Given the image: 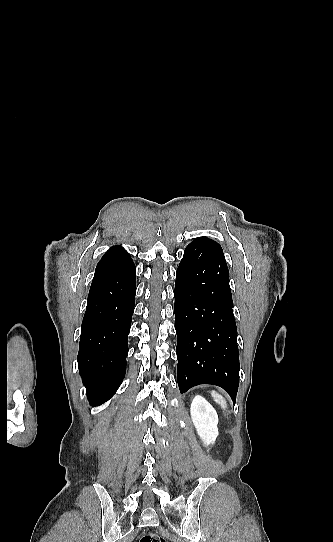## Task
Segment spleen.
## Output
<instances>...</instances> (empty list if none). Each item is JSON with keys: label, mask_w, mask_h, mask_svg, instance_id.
<instances>
[{"label": "spleen", "mask_w": 333, "mask_h": 542, "mask_svg": "<svg viewBox=\"0 0 333 542\" xmlns=\"http://www.w3.org/2000/svg\"><path fill=\"white\" fill-rule=\"evenodd\" d=\"M211 396L214 402L221 406L222 410H225V408H227L226 400L225 398H223V396H220V394H217V392H211Z\"/></svg>", "instance_id": "3e777b00"}]
</instances>
